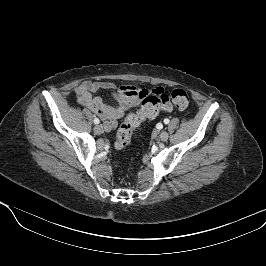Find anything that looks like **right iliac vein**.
<instances>
[{
	"instance_id": "obj_1",
	"label": "right iliac vein",
	"mask_w": 266,
	"mask_h": 266,
	"mask_svg": "<svg viewBox=\"0 0 266 266\" xmlns=\"http://www.w3.org/2000/svg\"><path fill=\"white\" fill-rule=\"evenodd\" d=\"M94 132L97 134V135H100L103 133V127L101 125H96L94 127Z\"/></svg>"
}]
</instances>
